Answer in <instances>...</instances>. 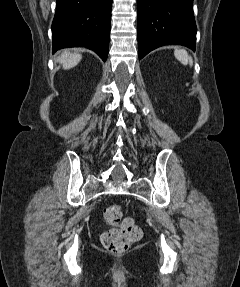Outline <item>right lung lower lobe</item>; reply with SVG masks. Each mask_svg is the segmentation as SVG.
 I'll return each instance as SVG.
<instances>
[{
    "instance_id": "obj_1",
    "label": "right lung lower lobe",
    "mask_w": 240,
    "mask_h": 287,
    "mask_svg": "<svg viewBox=\"0 0 240 287\" xmlns=\"http://www.w3.org/2000/svg\"><path fill=\"white\" fill-rule=\"evenodd\" d=\"M56 3L53 53L66 47H86L106 61L112 0H56Z\"/></svg>"
}]
</instances>
